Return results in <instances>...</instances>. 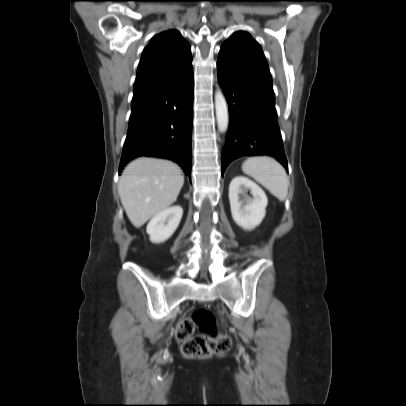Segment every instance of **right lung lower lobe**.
Returning <instances> with one entry per match:
<instances>
[{
	"label": "right lung lower lobe",
	"mask_w": 406,
	"mask_h": 406,
	"mask_svg": "<svg viewBox=\"0 0 406 406\" xmlns=\"http://www.w3.org/2000/svg\"><path fill=\"white\" fill-rule=\"evenodd\" d=\"M193 69L170 85L132 101L119 170L140 156L168 159L191 177Z\"/></svg>",
	"instance_id": "obj_1"
}]
</instances>
